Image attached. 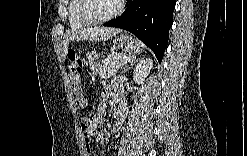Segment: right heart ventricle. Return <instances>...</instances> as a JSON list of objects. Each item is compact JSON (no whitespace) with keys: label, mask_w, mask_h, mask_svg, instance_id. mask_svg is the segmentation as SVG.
Segmentation results:
<instances>
[{"label":"right heart ventricle","mask_w":247,"mask_h":156,"mask_svg":"<svg viewBox=\"0 0 247 156\" xmlns=\"http://www.w3.org/2000/svg\"><path fill=\"white\" fill-rule=\"evenodd\" d=\"M80 0H71L68 6V23L72 29H80L86 25L78 17Z\"/></svg>","instance_id":"e07e8e85"}]
</instances>
